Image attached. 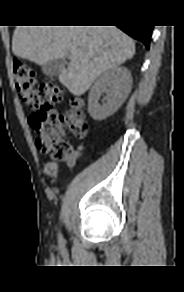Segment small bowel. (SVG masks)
Masks as SVG:
<instances>
[{
    "mask_svg": "<svg viewBox=\"0 0 184 292\" xmlns=\"http://www.w3.org/2000/svg\"><path fill=\"white\" fill-rule=\"evenodd\" d=\"M78 158H79V151L75 150V151H73L71 158L67 161V164L69 166H73L76 163Z\"/></svg>",
    "mask_w": 184,
    "mask_h": 292,
    "instance_id": "small-bowel-1",
    "label": "small bowel"
}]
</instances>
